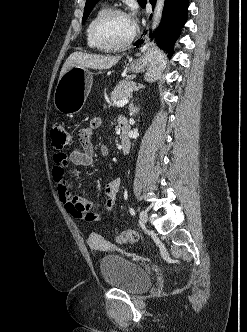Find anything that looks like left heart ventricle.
Returning <instances> with one entry per match:
<instances>
[{"label": "left heart ventricle", "instance_id": "b2bd125f", "mask_svg": "<svg viewBox=\"0 0 247 332\" xmlns=\"http://www.w3.org/2000/svg\"><path fill=\"white\" fill-rule=\"evenodd\" d=\"M134 29V24L127 15L116 14L108 18L99 28L101 38L109 44L125 41Z\"/></svg>", "mask_w": 247, "mask_h": 332}]
</instances>
